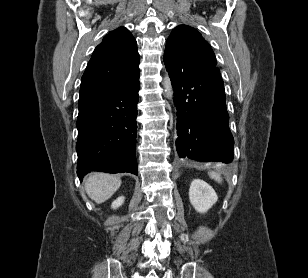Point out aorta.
<instances>
[{
	"instance_id": "1",
	"label": "aorta",
	"mask_w": 308,
	"mask_h": 278,
	"mask_svg": "<svg viewBox=\"0 0 308 278\" xmlns=\"http://www.w3.org/2000/svg\"><path fill=\"white\" fill-rule=\"evenodd\" d=\"M163 84H164L165 93H166L167 97L172 98L173 97V88H172L171 80H170L168 74L165 76Z\"/></svg>"
}]
</instances>
